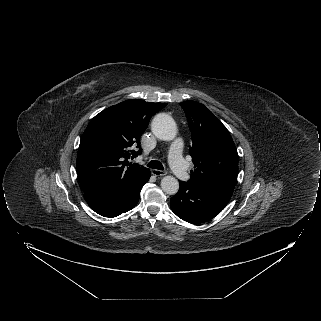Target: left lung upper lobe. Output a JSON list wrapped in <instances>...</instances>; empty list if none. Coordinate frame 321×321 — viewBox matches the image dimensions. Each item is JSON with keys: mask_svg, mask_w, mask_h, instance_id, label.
<instances>
[{"mask_svg": "<svg viewBox=\"0 0 321 321\" xmlns=\"http://www.w3.org/2000/svg\"><path fill=\"white\" fill-rule=\"evenodd\" d=\"M192 133L190 155L195 164L189 182L234 189L238 176V154L222 122L203 104L184 101Z\"/></svg>", "mask_w": 321, "mask_h": 321, "instance_id": "5c2ea615", "label": "left lung upper lobe"}]
</instances>
